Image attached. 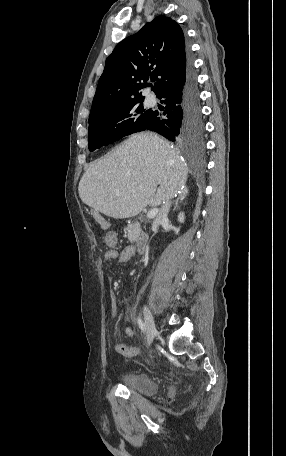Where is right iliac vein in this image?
Wrapping results in <instances>:
<instances>
[{
    "instance_id": "right-iliac-vein-1",
    "label": "right iliac vein",
    "mask_w": 286,
    "mask_h": 456,
    "mask_svg": "<svg viewBox=\"0 0 286 456\" xmlns=\"http://www.w3.org/2000/svg\"><path fill=\"white\" fill-rule=\"evenodd\" d=\"M143 313L147 329V345L150 346L157 334V329L152 314L147 306L143 307Z\"/></svg>"
}]
</instances>
